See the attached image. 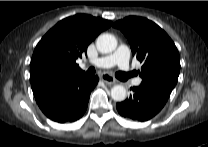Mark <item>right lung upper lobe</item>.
<instances>
[{
	"label": "right lung upper lobe",
	"instance_id": "right-lung-upper-lobe-1",
	"mask_svg": "<svg viewBox=\"0 0 208 147\" xmlns=\"http://www.w3.org/2000/svg\"><path fill=\"white\" fill-rule=\"evenodd\" d=\"M112 22L86 14L59 21L37 44L30 65L33 94L63 86L85 74L76 59Z\"/></svg>",
	"mask_w": 208,
	"mask_h": 147
}]
</instances>
